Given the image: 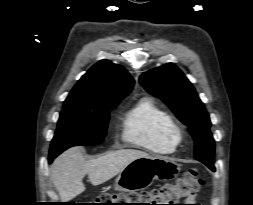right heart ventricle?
<instances>
[{"mask_svg": "<svg viewBox=\"0 0 253 205\" xmlns=\"http://www.w3.org/2000/svg\"><path fill=\"white\" fill-rule=\"evenodd\" d=\"M172 116L149 98L139 100L123 116L122 140L130 145L160 154L173 152L178 142L170 136Z\"/></svg>", "mask_w": 253, "mask_h": 205, "instance_id": "obj_1", "label": "right heart ventricle"}]
</instances>
